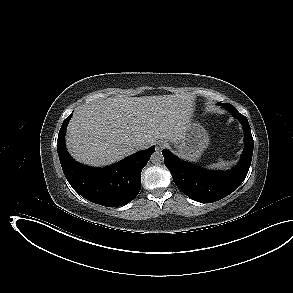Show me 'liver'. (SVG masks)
<instances>
[{
	"label": "liver",
	"instance_id": "1",
	"mask_svg": "<svg viewBox=\"0 0 293 293\" xmlns=\"http://www.w3.org/2000/svg\"><path fill=\"white\" fill-rule=\"evenodd\" d=\"M195 95L98 98L78 107L68 124L66 146L78 162L100 167L131 155L136 144L180 142L194 112Z\"/></svg>",
	"mask_w": 293,
	"mask_h": 293
}]
</instances>
